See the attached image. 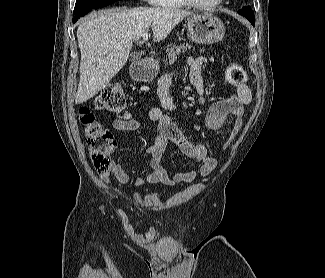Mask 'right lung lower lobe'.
<instances>
[{"instance_id": "right-lung-lower-lobe-1", "label": "right lung lower lobe", "mask_w": 325, "mask_h": 278, "mask_svg": "<svg viewBox=\"0 0 325 278\" xmlns=\"http://www.w3.org/2000/svg\"><path fill=\"white\" fill-rule=\"evenodd\" d=\"M91 10H93V9H91ZM91 10H88V11H85V12H82V13L80 12V13H77V14H73V16H74L73 23L77 22L78 18H80L81 16L86 15Z\"/></svg>"}]
</instances>
